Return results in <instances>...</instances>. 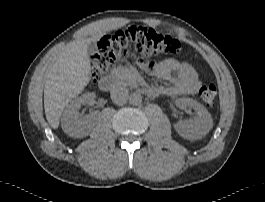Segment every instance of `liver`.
<instances>
[{"label":"liver","instance_id":"1","mask_svg":"<svg viewBox=\"0 0 265 202\" xmlns=\"http://www.w3.org/2000/svg\"><path fill=\"white\" fill-rule=\"evenodd\" d=\"M101 35L70 42L55 57L45 81L44 109L53 129L59 127L60 117L67 104L79 95L90 81V60L87 47Z\"/></svg>","mask_w":265,"mask_h":202}]
</instances>
